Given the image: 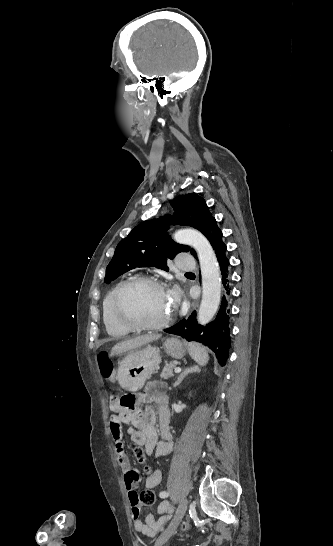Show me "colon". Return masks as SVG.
Segmentation results:
<instances>
[{"instance_id": "1", "label": "colon", "mask_w": 333, "mask_h": 546, "mask_svg": "<svg viewBox=\"0 0 333 546\" xmlns=\"http://www.w3.org/2000/svg\"><path fill=\"white\" fill-rule=\"evenodd\" d=\"M99 360H100L103 373L105 375H108L111 370V366L106 360V356L104 353L100 355ZM112 403L120 404L121 406H124V407H134L136 405V398L134 395L130 394V395L123 396L119 402L116 400H113ZM134 453H135V457L140 463H143L145 461V451L141 446H136L134 449ZM146 471L147 473H150V469L148 467H146ZM155 502H156V494L152 489L148 488L143 490L140 493L139 504H141L142 506H152L155 504Z\"/></svg>"}]
</instances>
